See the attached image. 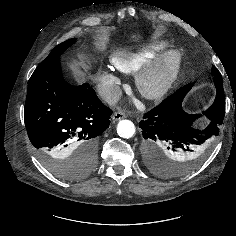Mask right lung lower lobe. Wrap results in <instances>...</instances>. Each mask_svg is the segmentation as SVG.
I'll return each instance as SVG.
<instances>
[{"mask_svg":"<svg viewBox=\"0 0 236 236\" xmlns=\"http://www.w3.org/2000/svg\"><path fill=\"white\" fill-rule=\"evenodd\" d=\"M112 110L87 84L72 86L62 76L60 60L39 65L28 83L25 126L41 155L96 162L98 136L109 127Z\"/></svg>","mask_w":236,"mask_h":236,"instance_id":"obj_1","label":"right lung lower lobe"}]
</instances>
